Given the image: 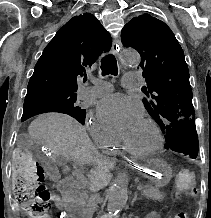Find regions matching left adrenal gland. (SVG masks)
I'll list each match as a JSON object with an SVG mask.
<instances>
[{"instance_id":"obj_1","label":"left adrenal gland","mask_w":211,"mask_h":218,"mask_svg":"<svg viewBox=\"0 0 211 218\" xmlns=\"http://www.w3.org/2000/svg\"><path fill=\"white\" fill-rule=\"evenodd\" d=\"M137 200H140V198H138V192H134V198L131 202V206H133L134 202H137Z\"/></svg>"}]
</instances>
